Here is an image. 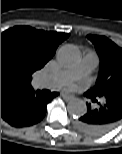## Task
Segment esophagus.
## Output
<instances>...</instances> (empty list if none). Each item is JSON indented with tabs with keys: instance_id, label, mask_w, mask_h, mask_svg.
<instances>
[{
	"instance_id": "1",
	"label": "esophagus",
	"mask_w": 122,
	"mask_h": 154,
	"mask_svg": "<svg viewBox=\"0 0 122 154\" xmlns=\"http://www.w3.org/2000/svg\"><path fill=\"white\" fill-rule=\"evenodd\" d=\"M61 96L65 101H69L73 98L71 95L64 93V92L61 93Z\"/></svg>"
}]
</instances>
